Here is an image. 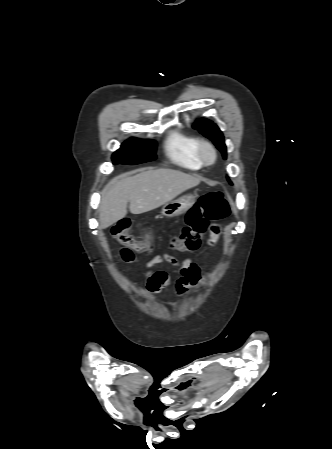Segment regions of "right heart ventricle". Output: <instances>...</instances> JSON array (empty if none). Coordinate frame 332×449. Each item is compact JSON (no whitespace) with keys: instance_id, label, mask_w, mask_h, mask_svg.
<instances>
[{"instance_id":"right-heart-ventricle-1","label":"right heart ventricle","mask_w":332,"mask_h":449,"mask_svg":"<svg viewBox=\"0 0 332 449\" xmlns=\"http://www.w3.org/2000/svg\"><path fill=\"white\" fill-rule=\"evenodd\" d=\"M198 141L199 139L192 134L172 130L165 141L166 155L179 166L192 170L200 169L202 163L196 152Z\"/></svg>"}]
</instances>
